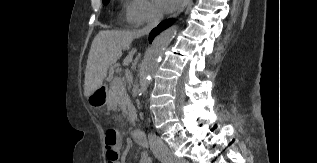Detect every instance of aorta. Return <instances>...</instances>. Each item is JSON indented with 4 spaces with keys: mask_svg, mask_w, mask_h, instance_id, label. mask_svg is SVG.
<instances>
[{
    "mask_svg": "<svg viewBox=\"0 0 317 163\" xmlns=\"http://www.w3.org/2000/svg\"><path fill=\"white\" fill-rule=\"evenodd\" d=\"M177 27L172 26L157 35L150 48L148 49L142 67H141V83L142 86L148 87L153 79L154 73L159 66L160 60L176 34Z\"/></svg>",
    "mask_w": 317,
    "mask_h": 163,
    "instance_id": "1",
    "label": "aorta"
}]
</instances>
